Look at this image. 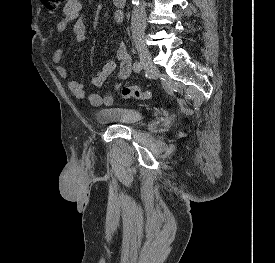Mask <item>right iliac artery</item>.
<instances>
[{
    "label": "right iliac artery",
    "mask_w": 275,
    "mask_h": 263,
    "mask_svg": "<svg viewBox=\"0 0 275 263\" xmlns=\"http://www.w3.org/2000/svg\"><path fill=\"white\" fill-rule=\"evenodd\" d=\"M141 69H142L141 64L139 62H135L134 65H133V70L135 72H139Z\"/></svg>",
    "instance_id": "1"
}]
</instances>
